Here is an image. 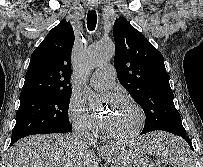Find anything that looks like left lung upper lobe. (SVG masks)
Masks as SVG:
<instances>
[{
	"mask_svg": "<svg viewBox=\"0 0 203 167\" xmlns=\"http://www.w3.org/2000/svg\"><path fill=\"white\" fill-rule=\"evenodd\" d=\"M113 35L117 77L145 113L143 132L186 133L173 102L162 54L123 17L115 21Z\"/></svg>",
	"mask_w": 203,
	"mask_h": 167,
	"instance_id": "obj_1",
	"label": "left lung upper lobe"
}]
</instances>
